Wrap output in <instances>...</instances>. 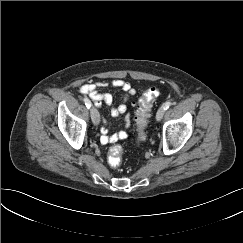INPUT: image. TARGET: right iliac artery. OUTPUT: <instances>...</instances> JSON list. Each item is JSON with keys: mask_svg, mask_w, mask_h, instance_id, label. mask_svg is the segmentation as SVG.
I'll use <instances>...</instances> for the list:
<instances>
[{"mask_svg": "<svg viewBox=\"0 0 243 243\" xmlns=\"http://www.w3.org/2000/svg\"><path fill=\"white\" fill-rule=\"evenodd\" d=\"M83 100L85 102L86 107L88 109L91 108L92 104H91L90 100L88 98H84Z\"/></svg>", "mask_w": 243, "mask_h": 243, "instance_id": "obj_1", "label": "right iliac artery"}]
</instances>
